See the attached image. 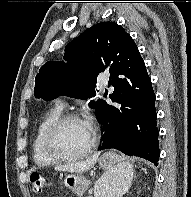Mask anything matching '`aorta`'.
<instances>
[{
  "mask_svg": "<svg viewBox=\"0 0 191 197\" xmlns=\"http://www.w3.org/2000/svg\"><path fill=\"white\" fill-rule=\"evenodd\" d=\"M108 174H106V176L102 177L99 181H98V185H97V191L98 192V196L100 197H107V192L105 191V186H107L108 184Z\"/></svg>",
  "mask_w": 191,
  "mask_h": 197,
  "instance_id": "1",
  "label": "aorta"
}]
</instances>
